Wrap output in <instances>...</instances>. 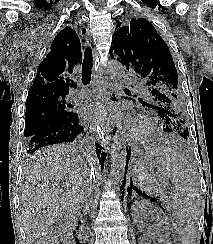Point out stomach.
I'll list each match as a JSON object with an SVG mask.
<instances>
[{"label": "stomach", "instance_id": "obj_1", "mask_svg": "<svg viewBox=\"0 0 213 244\" xmlns=\"http://www.w3.org/2000/svg\"><path fill=\"white\" fill-rule=\"evenodd\" d=\"M131 174L135 186L152 197L160 196L167 185V178L157 169L156 149H137Z\"/></svg>", "mask_w": 213, "mask_h": 244}]
</instances>
